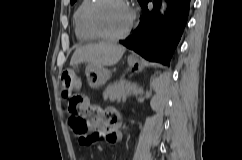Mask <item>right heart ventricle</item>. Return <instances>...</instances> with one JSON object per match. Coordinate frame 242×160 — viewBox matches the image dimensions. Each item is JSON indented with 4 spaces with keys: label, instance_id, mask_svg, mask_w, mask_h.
Wrapping results in <instances>:
<instances>
[{
    "label": "right heart ventricle",
    "instance_id": "obj_1",
    "mask_svg": "<svg viewBox=\"0 0 242 160\" xmlns=\"http://www.w3.org/2000/svg\"><path fill=\"white\" fill-rule=\"evenodd\" d=\"M91 0H81L79 5L73 14V25L77 39L81 42H88L95 40L97 37L94 36L85 25V11L90 4Z\"/></svg>",
    "mask_w": 242,
    "mask_h": 160
}]
</instances>
